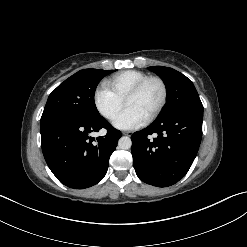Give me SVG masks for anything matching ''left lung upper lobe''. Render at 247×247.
<instances>
[{"instance_id":"obj_1","label":"left lung upper lobe","mask_w":247,"mask_h":247,"mask_svg":"<svg viewBox=\"0 0 247 247\" xmlns=\"http://www.w3.org/2000/svg\"><path fill=\"white\" fill-rule=\"evenodd\" d=\"M152 72L158 74L165 82L168 91L167 103L156 119L161 121L176 112H203V105L199 95L190 79L182 73L164 66L148 67Z\"/></svg>"}]
</instances>
